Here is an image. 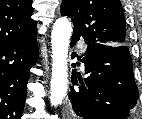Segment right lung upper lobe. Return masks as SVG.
Instances as JSON below:
<instances>
[{
	"mask_svg": "<svg viewBox=\"0 0 142 119\" xmlns=\"http://www.w3.org/2000/svg\"><path fill=\"white\" fill-rule=\"evenodd\" d=\"M32 0H0V47L23 41L36 32Z\"/></svg>",
	"mask_w": 142,
	"mask_h": 119,
	"instance_id": "cb5924a9",
	"label": "right lung upper lobe"
}]
</instances>
